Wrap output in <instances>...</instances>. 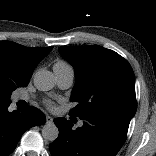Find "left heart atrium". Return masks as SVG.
I'll return each instance as SVG.
<instances>
[{"instance_id":"39dd6f15","label":"left heart atrium","mask_w":156,"mask_h":156,"mask_svg":"<svg viewBox=\"0 0 156 156\" xmlns=\"http://www.w3.org/2000/svg\"><path fill=\"white\" fill-rule=\"evenodd\" d=\"M46 105L49 107V108H53V104L51 102H46Z\"/></svg>"}]
</instances>
